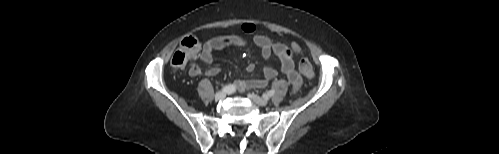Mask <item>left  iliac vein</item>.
Here are the masks:
<instances>
[{
    "label": "left iliac vein",
    "mask_w": 499,
    "mask_h": 154,
    "mask_svg": "<svg viewBox=\"0 0 499 154\" xmlns=\"http://www.w3.org/2000/svg\"><path fill=\"white\" fill-rule=\"evenodd\" d=\"M248 98L259 106H265L268 103L266 98L259 97L253 93L248 94Z\"/></svg>",
    "instance_id": "left-iliac-vein-1"
}]
</instances>
